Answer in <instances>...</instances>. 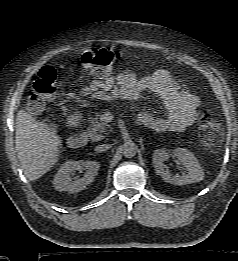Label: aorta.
Returning <instances> with one entry per match:
<instances>
[{"label": "aorta", "instance_id": "762f6f07", "mask_svg": "<svg viewBox=\"0 0 238 261\" xmlns=\"http://www.w3.org/2000/svg\"><path fill=\"white\" fill-rule=\"evenodd\" d=\"M137 150V146L131 141L126 142L122 147V153L126 158H133L136 155Z\"/></svg>", "mask_w": 238, "mask_h": 261}]
</instances>
